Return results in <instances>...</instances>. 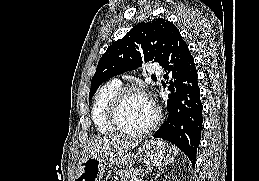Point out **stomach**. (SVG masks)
Wrapping results in <instances>:
<instances>
[{
    "label": "stomach",
    "mask_w": 259,
    "mask_h": 181,
    "mask_svg": "<svg viewBox=\"0 0 259 181\" xmlns=\"http://www.w3.org/2000/svg\"><path fill=\"white\" fill-rule=\"evenodd\" d=\"M134 160L149 168H161L173 161V153L167 143L155 139L145 141L135 154L128 151H90L80 160L75 181H101L107 165L132 164Z\"/></svg>",
    "instance_id": "stomach-1"
}]
</instances>
